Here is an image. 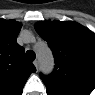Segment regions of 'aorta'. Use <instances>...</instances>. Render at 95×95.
<instances>
[{"label":"aorta","instance_id":"762f6f07","mask_svg":"<svg viewBox=\"0 0 95 95\" xmlns=\"http://www.w3.org/2000/svg\"><path fill=\"white\" fill-rule=\"evenodd\" d=\"M36 55L39 62V69L43 74H50L54 68V58L52 51L46 43L35 46Z\"/></svg>","mask_w":95,"mask_h":95}]
</instances>
